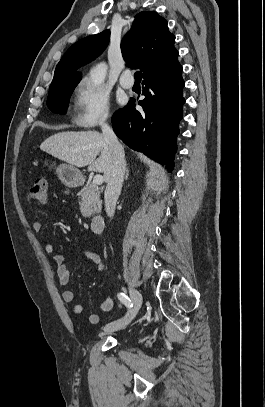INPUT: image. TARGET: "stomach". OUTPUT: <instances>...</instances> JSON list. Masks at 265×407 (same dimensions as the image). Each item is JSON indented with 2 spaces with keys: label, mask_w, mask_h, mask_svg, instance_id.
<instances>
[{
  "label": "stomach",
  "mask_w": 265,
  "mask_h": 407,
  "mask_svg": "<svg viewBox=\"0 0 265 407\" xmlns=\"http://www.w3.org/2000/svg\"><path fill=\"white\" fill-rule=\"evenodd\" d=\"M44 164L48 165V160H45ZM56 173L60 181L67 187H76L83 180L81 172L71 165L60 164L56 168Z\"/></svg>",
  "instance_id": "1"
}]
</instances>
